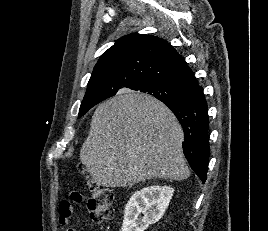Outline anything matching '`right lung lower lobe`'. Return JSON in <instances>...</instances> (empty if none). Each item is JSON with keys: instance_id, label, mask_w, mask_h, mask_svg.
Instances as JSON below:
<instances>
[{"instance_id": "1", "label": "right lung lower lobe", "mask_w": 268, "mask_h": 231, "mask_svg": "<svg viewBox=\"0 0 268 231\" xmlns=\"http://www.w3.org/2000/svg\"><path fill=\"white\" fill-rule=\"evenodd\" d=\"M178 118L184 131L183 152L191 168L204 183L210 153L208 109L201 86L185 101L163 102Z\"/></svg>"}]
</instances>
